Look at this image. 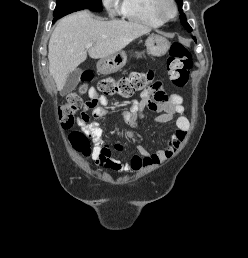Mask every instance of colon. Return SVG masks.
<instances>
[{"label":"colon","mask_w":248,"mask_h":258,"mask_svg":"<svg viewBox=\"0 0 248 258\" xmlns=\"http://www.w3.org/2000/svg\"><path fill=\"white\" fill-rule=\"evenodd\" d=\"M192 67L191 53L181 43H173L170 47V56L167 61L168 75L172 83L178 87L187 84L189 73ZM92 80L91 73L87 72L82 77L80 92H84L87 84ZM151 87L154 94L163 96L161 85L154 82V74L148 72H134L127 77L114 79L107 77L102 79L98 88L104 95H120L122 97H131L138 92L145 91ZM82 98L79 92H73L66 98L58 109L59 122L63 127L70 128L74 123V114L81 108ZM70 142L74 149L84 156L90 154V139L82 131H73L69 135Z\"/></svg>","instance_id":"colon-1"}]
</instances>
